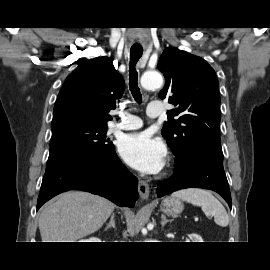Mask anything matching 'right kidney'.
Instances as JSON below:
<instances>
[{
    "label": "right kidney",
    "instance_id": "right-kidney-1",
    "mask_svg": "<svg viewBox=\"0 0 270 270\" xmlns=\"http://www.w3.org/2000/svg\"><path fill=\"white\" fill-rule=\"evenodd\" d=\"M79 242H101V240L97 237H90L89 239L80 240Z\"/></svg>",
    "mask_w": 270,
    "mask_h": 270
}]
</instances>
